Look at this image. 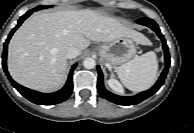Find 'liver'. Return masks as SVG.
I'll return each instance as SVG.
<instances>
[{
  "label": "liver",
  "mask_w": 194,
  "mask_h": 133,
  "mask_svg": "<svg viewBox=\"0 0 194 133\" xmlns=\"http://www.w3.org/2000/svg\"><path fill=\"white\" fill-rule=\"evenodd\" d=\"M120 37L150 44L143 34L95 10L36 13L10 40L8 70L25 87L40 92L56 91L66 80V48L73 46L81 53L90 41L111 42Z\"/></svg>",
  "instance_id": "1"
}]
</instances>
